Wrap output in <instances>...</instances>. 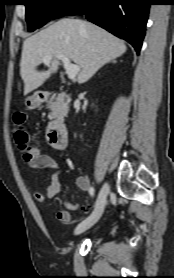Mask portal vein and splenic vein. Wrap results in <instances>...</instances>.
I'll return each instance as SVG.
<instances>
[{"label":"portal vein and splenic vein","mask_w":174,"mask_h":278,"mask_svg":"<svg viewBox=\"0 0 174 278\" xmlns=\"http://www.w3.org/2000/svg\"><path fill=\"white\" fill-rule=\"evenodd\" d=\"M56 57L58 59H60L63 64H64V68L66 70V73L68 75V78L69 79H74L76 77V75L80 72V67L76 64H72L69 60V58L63 54H58L56 55ZM52 59V56L49 55V56H46L43 58V62L46 64V63H49Z\"/></svg>","instance_id":"1"}]
</instances>
